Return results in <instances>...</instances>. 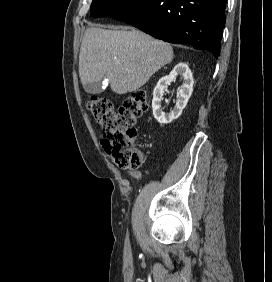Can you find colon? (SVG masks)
Returning a JSON list of instances; mask_svg holds the SVG:
<instances>
[{
    "label": "colon",
    "mask_w": 272,
    "mask_h": 282,
    "mask_svg": "<svg viewBox=\"0 0 272 282\" xmlns=\"http://www.w3.org/2000/svg\"><path fill=\"white\" fill-rule=\"evenodd\" d=\"M87 108L94 119L107 131L101 140L102 147L113 163L124 169L142 165L144 156L134 144L137 137L136 118L144 114L148 105L144 91H136L115 107L104 98H92Z\"/></svg>",
    "instance_id": "obj_1"
}]
</instances>
